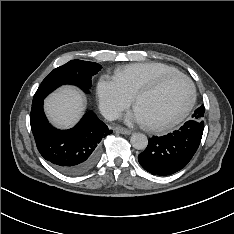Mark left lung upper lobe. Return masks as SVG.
<instances>
[{"instance_id": "1", "label": "left lung upper lobe", "mask_w": 234, "mask_h": 234, "mask_svg": "<svg viewBox=\"0 0 234 234\" xmlns=\"http://www.w3.org/2000/svg\"><path fill=\"white\" fill-rule=\"evenodd\" d=\"M204 111H205V108L204 106H200L198 109H196L192 115V118L193 120H197V121H200V122H204L203 119H204Z\"/></svg>"}]
</instances>
